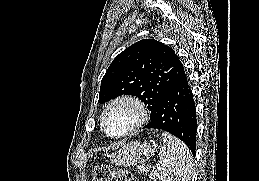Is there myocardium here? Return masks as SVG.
<instances>
[{
  "label": "myocardium",
  "instance_id": "f54148a6",
  "mask_svg": "<svg viewBox=\"0 0 259 181\" xmlns=\"http://www.w3.org/2000/svg\"><path fill=\"white\" fill-rule=\"evenodd\" d=\"M126 104L131 106L136 113V118L133 123V125L128 128L126 131L120 133V134H112L107 130L106 127V118L108 113L110 112L111 109L118 105ZM148 120V112L145 104L136 96L134 95H121L118 96L114 99H112L104 108L101 117H100V123H101V128L103 132L115 139H120V138H125L128 137L132 134H134L136 131H138Z\"/></svg>",
  "mask_w": 259,
  "mask_h": 181
}]
</instances>
